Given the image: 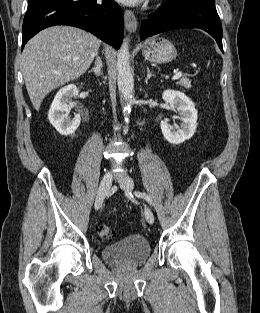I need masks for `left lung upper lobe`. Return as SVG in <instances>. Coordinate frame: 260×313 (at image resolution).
I'll list each match as a JSON object with an SVG mask.
<instances>
[{"instance_id": "left-lung-upper-lobe-1", "label": "left lung upper lobe", "mask_w": 260, "mask_h": 313, "mask_svg": "<svg viewBox=\"0 0 260 313\" xmlns=\"http://www.w3.org/2000/svg\"><path fill=\"white\" fill-rule=\"evenodd\" d=\"M184 1H190V2H202L210 5H215V0H184Z\"/></svg>"}]
</instances>
